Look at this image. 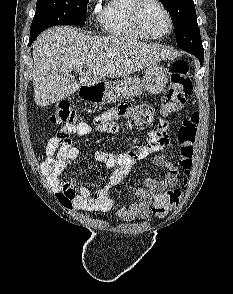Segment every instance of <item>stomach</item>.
<instances>
[{
  "mask_svg": "<svg viewBox=\"0 0 233 294\" xmlns=\"http://www.w3.org/2000/svg\"><path fill=\"white\" fill-rule=\"evenodd\" d=\"M167 82L166 68L155 63L146 67L142 78L130 76L105 83L100 88L84 93V96L99 104H110L127 97L140 96L145 91L153 95L159 94L164 90Z\"/></svg>",
  "mask_w": 233,
  "mask_h": 294,
  "instance_id": "stomach-1",
  "label": "stomach"
}]
</instances>
